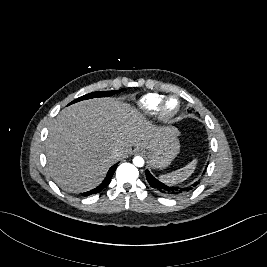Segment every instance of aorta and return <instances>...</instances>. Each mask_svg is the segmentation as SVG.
Masks as SVG:
<instances>
[{
	"label": "aorta",
	"mask_w": 267,
	"mask_h": 267,
	"mask_svg": "<svg viewBox=\"0 0 267 267\" xmlns=\"http://www.w3.org/2000/svg\"><path fill=\"white\" fill-rule=\"evenodd\" d=\"M144 159L140 156H135L133 158V164L137 167H142L144 165Z\"/></svg>",
	"instance_id": "obj_1"
}]
</instances>
